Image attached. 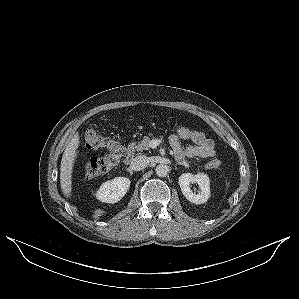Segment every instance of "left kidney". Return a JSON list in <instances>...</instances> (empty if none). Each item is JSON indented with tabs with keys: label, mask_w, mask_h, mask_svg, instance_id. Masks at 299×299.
<instances>
[{
	"label": "left kidney",
	"mask_w": 299,
	"mask_h": 299,
	"mask_svg": "<svg viewBox=\"0 0 299 299\" xmlns=\"http://www.w3.org/2000/svg\"><path fill=\"white\" fill-rule=\"evenodd\" d=\"M190 183H197L199 185L198 193H193L190 188ZM179 185L182 194L188 201L194 204H203L210 197V181L209 177L204 173L193 175L191 173H183L179 177Z\"/></svg>",
	"instance_id": "1"
}]
</instances>
